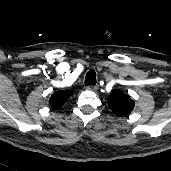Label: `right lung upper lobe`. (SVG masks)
<instances>
[{
    "label": "right lung upper lobe",
    "mask_w": 171,
    "mask_h": 171,
    "mask_svg": "<svg viewBox=\"0 0 171 171\" xmlns=\"http://www.w3.org/2000/svg\"><path fill=\"white\" fill-rule=\"evenodd\" d=\"M71 95H73V92L71 90H68L66 92H56L51 96L49 104L52 109H59Z\"/></svg>",
    "instance_id": "obj_1"
}]
</instances>
